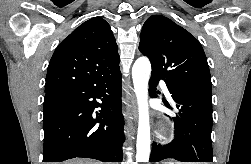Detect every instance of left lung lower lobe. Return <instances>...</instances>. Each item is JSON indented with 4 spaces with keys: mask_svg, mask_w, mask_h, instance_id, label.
I'll use <instances>...</instances> for the list:
<instances>
[{
    "mask_svg": "<svg viewBox=\"0 0 251 164\" xmlns=\"http://www.w3.org/2000/svg\"><path fill=\"white\" fill-rule=\"evenodd\" d=\"M161 79L151 75L149 93L157 97L156 86ZM177 109L173 117L175 138L169 144L154 142L150 162L174 158L181 162H213L212 153V95L165 80ZM166 106L170 107L168 103Z\"/></svg>",
    "mask_w": 251,
    "mask_h": 164,
    "instance_id": "obj_1",
    "label": "left lung lower lobe"
}]
</instances>
